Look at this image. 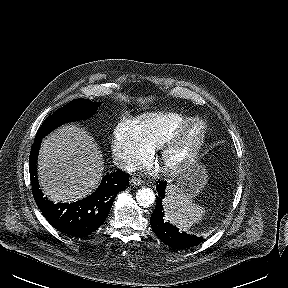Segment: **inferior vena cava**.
I'll return each instance as SVG.
<instances>
[{
  "label": "inferior vena cava",
  "instance_id": "602c4592",
  "mask_svg": "<svg viewBox=\"0 0 288 288\" xmlns=\"http://www.w3.org/2000/svg\"><path fill=\"white\" fill-rule=\"evenodd\" d=\"M114 163L119 169L128 173L134 172L137 169V164L131 159H118Z\"/></svg>",
  "mask_w": 288,
  "mask_h": 288
}]
</instances>
